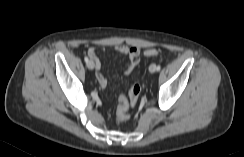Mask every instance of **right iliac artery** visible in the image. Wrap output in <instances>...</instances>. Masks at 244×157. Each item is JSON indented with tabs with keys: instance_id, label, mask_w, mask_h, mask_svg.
Masks as SVG:
<instances>
[{
	"instance_id": "82829eb1",
	"label": "right iliac artery",
	"mask_w": 244,
	"mask_h": 157,
	"mask_svg": "<svg viewBox=\"0 0 244 157\" xmlns=\"http://www.w3.org/2000/svg\"><path fill=\"white\" fill-rule=\"evenodd\" d=\"M84 61H85L86 63H88V62H89V59H88V57H87V56H85V57H84Z\"/></svg>"
}]
</instances>
